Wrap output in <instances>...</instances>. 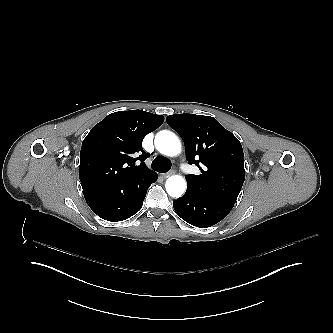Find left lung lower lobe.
Wrapping results in <instances>:
<instances>
[{
    "label": "left lung lower lobe",
    "instance_id": "obj_1",
    "mask_svg": "<svg viewBox=\"0 0 333 333\" xmlns=\"http://www.w3.org/2000/svg\"><path fill=\"white\" fill-rule=\"evenodd\" d=\"M176 213L187 223L196 227H210L225 218L234 203L197 196L186 191L173 202Z\"/></svg>",
    "mask_w": 333,
    "mask_h": 333
}]
</instances>
